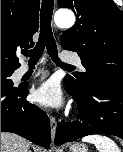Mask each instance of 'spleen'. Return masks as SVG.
Masks as SVG:
<instances>
[{"label":"spleen","mask_w":123,"mask_h":152,"mask_svg":"<svg viewBox=\"0 0 123 152\" xmlns=\"http://www.w3.org/2000/svg\"><path fill=\"white\" fill-rule=\"evenodd\" d=\"M82 141L94 144L98 152H121L117 144L107 136L87 135L82 138Z\"/></svg>","instance_id":"spleen-1"}]
</instances>
